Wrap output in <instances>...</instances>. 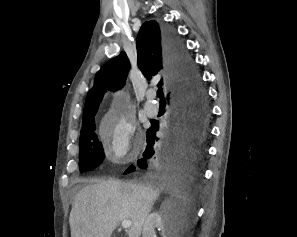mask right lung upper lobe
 Instances as JSON below:
<instances>
[{
  "label": "right lung upper lobe",
  "mask_w": 297,
  "mask_h": 237,
  "mask_svg": "<svg viewBox=\"0 0 297 237\" xmlns=\"http://www.w3.org/2000/svg\"><path fill=\"white\" fill-rule=\"evenodd\" d=\"M137 62L144 76L150 80L160 70L166 73L165 83L171 86L172 77L167 65L163 45L162 26L156 21L145 22L137 37ZM130 63L125 52L108 61L96 74L83 112V128L94 124V116L106 90H117L126 81ZM163 85V79L158 83Z\"/></svg>",
  "instance_id": "cb5924a9"
}]
</instances>
